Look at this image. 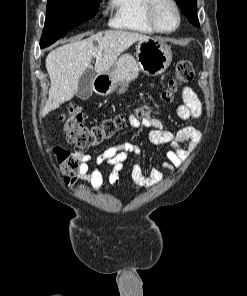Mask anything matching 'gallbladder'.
Instances as JSON below:
<instances>
[{
  "label": "gallbladder",
  "instance_id": "1",
  "mask_svg": "<svg viewBox=\"0 0 247 296\" xmlns=\"http://www.w3.org/2000/svg\"><path fill=\"white\" fill-rule=\"evenodd\" d=\"M94 73L92 69H87L80 77L76 96L81 100H87L91 97L93 89Z\"/></svg>",
  "mask_w": 247,
  "mask_h": 296
}]
</instances>
